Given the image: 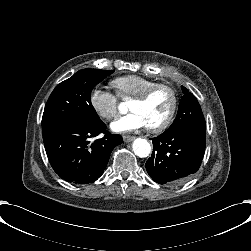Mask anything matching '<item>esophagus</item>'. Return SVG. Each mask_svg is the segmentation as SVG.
Wrapping results in <instances>:
<instances>
[{"instance_id":"34e87169","label":"esophagus","mask_w":251,"mask_h":251,"mask_svg":"<svg viewBox=\"0 0 251 251\" xmlns=\"http://www.w3.org/2000/svg\"><path fill=\"white\" fill-rule=\"evenodd\" d=\"M135 139V136H130V135H124L123 140L124 142H131Z\"/></svg>"}]
</instances>
